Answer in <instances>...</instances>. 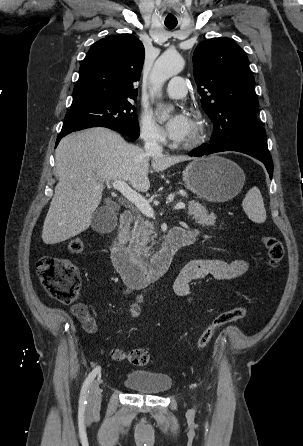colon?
Wrapping results in <instances>:
<instances>
[{
  "label": "colon",
  "instance_id": "obj_1",
  "mask_svg": "<svg viewBox=\"0 0 303 446\" xmlns=\"http://www.w3.org/2000/svg\"><path fill=\"white\" fill-rule=\"evenodd\" d=\"M262 242L267 250L269 265L273 268L277 267L284 256L282 242L271 235L264 236ZM67 249L71 254H81L84 251V243L80 238H73L68 242ZM36 272L42 286L51 298L63 304L76 301L81 280L75 265L70 260L43 257L36 263ZM247 312V307L238 306L220 313L199 335L196 343L197 348L204 349L221 327L245 317ZM113 357L116 360L127 359L133 365L143 366L150 362L152 356L148 350L140 348L128 353L115 350Z\"/></svg>",
  "mask_w": 303,
  "mask_h": 446
}]
</instances>
